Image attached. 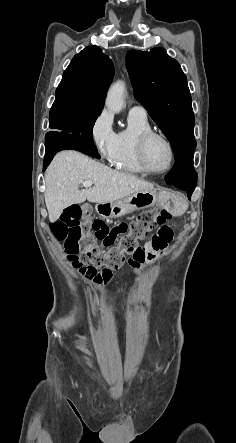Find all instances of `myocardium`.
<instances>
[{
  "instance_id": "f54148a6",
  "label": "myocardium",
  "mask_w": 236,
  "mask_h": 443,
  "mask_svg": "<svg viewBox=\"0 0 236 443\" xmlns=\"http://www.w3.org/2000/svg\"><path fill=\"white\" fill-rule=\"evenodd\" d=\"M155 137H158V138L162 139L163 141H165V143L168 145V148L170 151V162L165 169L160 170V171L153 170L149 166L148 161H147V155H146L148 143L150 142V140L152 138H155ZM136 154H137V159H138L139 165L144 170V172H146L148 174H152V175H162V174L169 172L175 163V157H176L174 145H173L172 141L169 139V137H167L162 132L155 131L152 129L146 130L138 136L137 142H136Z\"/></svg>"
}]
</instances>
